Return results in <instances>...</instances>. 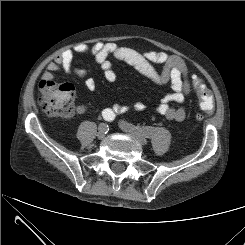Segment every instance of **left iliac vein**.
Here are the masks:
<instances>
[{"label":"left iliac vein","mask_w":245,"mask_h":245,"mask_svg":"<svg viewBox=\"0 0 245 245\" xmlns=\"http://www.w3.org/2000/svg\"><path fill=\"white\" fill-rule=\"evenodd\" d=\"M121 128L123 131H125L126 133H129L134 138H136L140 144H142V145L147 144V139L145 138V136L140 134L134 127H129V126L125 125L124 123H122Z\"/></svg>","instance_id":"left-iliac-vein-1"}]
</instances>
